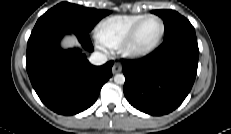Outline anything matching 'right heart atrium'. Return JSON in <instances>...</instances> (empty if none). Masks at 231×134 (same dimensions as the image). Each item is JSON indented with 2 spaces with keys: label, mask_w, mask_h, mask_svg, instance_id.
I'll list each match as a JSON object with an SVG mask.
<instances>
[{
  "label": "right heart atrium",
  "mask_w": 231,
  "mask_h": 134,
  "mask_svg": "<svg viewBox=\"0 0 231 134\" xmlns=\"http://www.w3.org/2000/svg\"><path fill=\"white\" fill-rule=\"evenodd\" d=\"M100 48H101V49H103V50H106V48H105V47H103V46H100Z\"/></svg>",
  "instance_id": "d8ad5b80"
}]
</instances>
